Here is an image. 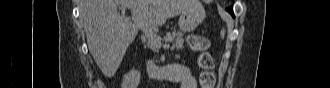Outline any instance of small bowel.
Returning a JSON list of instances; mask_svg holds the SVG:
<instances>
[{
    "label": "small bowel",
    "mask_w": 330,
    "mask_h": 88,
    "mask_svg": "<svg viewBox=\"0 0 330 88\" xmlns=\"http://www.w3.org/2000/svg\"><path fill=\"white\" fill-rule=\"evenodd\" d=\"M168 81L177 82L180 88H196L197 82L190 68L181 64L167 66Z\"/></svg>",
    "instance_id": "c3829d8e"
}]
</instances>
